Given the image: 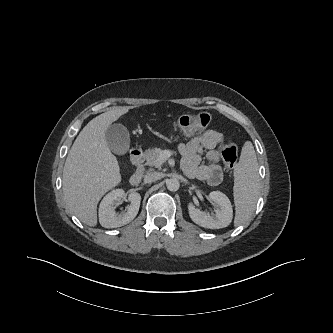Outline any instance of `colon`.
I'll return each mask as SVG.
<instances>
[{
    "label": "colon",
    "instance_id": "5ec220e1",
    "mask_svg": "<svg viewBox=\"0 0 333 333\" xmlns=\"http://www.w3.org/2000/svg\"><path fill=\"white\" fill-rule=\"evenodd\" d=\"M211 118L207 113L193 115H183L176 120V126L186 135L204 130L210 123ZM220 154L225 165L231 169L235 166L238 159L237 146L227 140L220 144Z\"/></svg>",
    "mask_w": 333,
    "mask_h": 333
}]
</instances>
